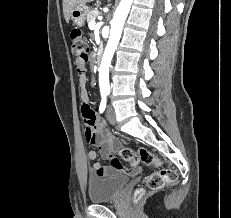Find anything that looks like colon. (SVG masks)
<instances>
[{
  "instance_id": "5ec220e1",
  "label": "colon",
  "mask_w": 231,
  "mask_h": 218,
  "mask_svg": "<svg viewBox=\"0 0 231 218\" xmlns=\"http://www.w3.org/2000/svg\"><path fill=\"white\" fill-rule=\"evenodd\" d=\"M70 43L74 55H76L78 58L79 56L88 58L89 46L80 29L74 28L71 30ZM118 153L133 167L137 166L139 163H143L147 166L161 165L160 159L146 148H139L137 151H135L128 147H122L118 149ZM112 165L118 167L120 165V161L116 158L112 161ZM176 179L177 174L175 170L171 168H160L159 170L148 175L146 179V188L152 191L159 190L165 186L173 184ZM146 188L140 187L136 189L134 193V200L136 202L145 196Z\"/></svg>"
}]
</instances>
